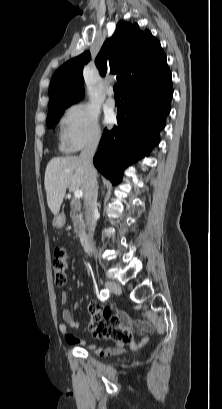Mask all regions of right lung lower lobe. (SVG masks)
<instances>
[{"label":"right lung lower lobe","mask_w":222,"mask_h":409,"mask_svg":"<svg viewBox=\"0 0 222 409\" xmlns=\"http://www.w3.org/2000/svg\"><path fill=\"white\" fill-rule=\"evenodd\" d=\"M172 95L169 69L151 78L136 80L121 94L125 102L118 110V126L104 130L93 159L95 167L113 185L121 181L128 165L159 143V132L170 112Z\"/></svg>","instance_id":"right-lung-lower-lobe-1"}]
</instances>
